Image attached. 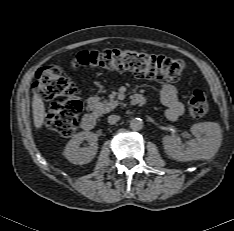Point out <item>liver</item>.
<instances>
[{
  "label": "liver",
  "mask_w": 234,
  "mask_h": 231,
  "mask_svg": "<svg viewBox=\"0 0 234 231\" xmlns=\"http://www.w3.org/2000/svg\"><path fill=\"white\" fill-rule=\"evenodd\" d=\"M32 110L34 126L36 129H40L44 123L45 106L42 98L37 93H34L33 96Z\"/></svg>",
  "instance_id": "obj_1"
}]
</instances>
